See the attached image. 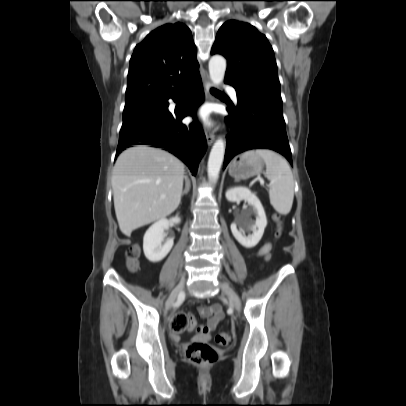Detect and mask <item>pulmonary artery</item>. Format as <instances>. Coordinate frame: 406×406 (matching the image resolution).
Masks as SVG:
<instances>
[{
    "label": "pulmonary artery",
    "mask_w": 406,
    "mask_h": 406,
    "mask_svg": "<svg viewBox=\"0 0 406 406\" xmlns=\"http://www.w3.org/2000/svg\"><path fill=\"white\" fill-rule=\"evenodd\" d=\"M226 89H227V91L230 93V95H231L233 101H234V102H237L238 99H237L236 90H235L234 88H232V87H229V86H227Z\"/></svg>",
    "instance_id": "1"
}]
</instances>
